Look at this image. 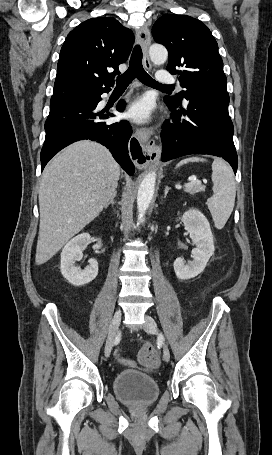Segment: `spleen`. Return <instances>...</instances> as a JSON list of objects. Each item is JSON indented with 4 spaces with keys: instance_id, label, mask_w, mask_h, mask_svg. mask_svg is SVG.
Wrapping results in <instances>:
<instances>
[{
    "instance_id": "spleen-1",
    "label": "spleen",
    "mask_w": 272,
    "mask_h": 455,
    "mask_svg": "<svg viewBox=\"0 0 272 455\" xmlns=\"http://www.w3.org/2000/svg\"><path fill=\"white\" fill-rule=\"evenodd\" d=\"M205 161L203 158L190 157L183 159L177 167L188 162ZM213 196L208 198L207 206L212 215L215 227L222 229L229 219L235 203L236 184L231 168L220 158L212 163Z\"/></svg>"
}]
</instances>
